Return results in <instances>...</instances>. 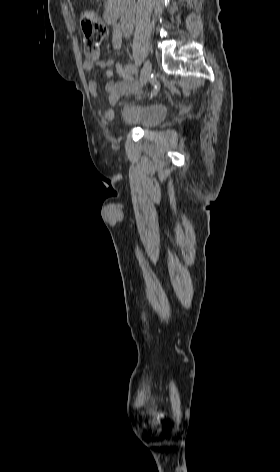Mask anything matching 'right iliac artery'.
<instances>
[{"mask_svg":"<svg viewBox=\"0 0 280 472\" xmlns=\"http://www.w3.org/2000/svg\"><path fill=\"white\" fill-rule=\"evenodd\" d=\"M121 38H122L121 28L119 25H117L114 27L113 40H112L113 47L115 49H119L121 47ZM124 69H125V72L130 76H137L138 74L137 69L133 65H126Z\"/></svg>","mask_w":280,"mask_h":472,"instance_id":"82829eb1","label":"right iliac artery"}]
</instances>
